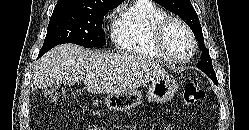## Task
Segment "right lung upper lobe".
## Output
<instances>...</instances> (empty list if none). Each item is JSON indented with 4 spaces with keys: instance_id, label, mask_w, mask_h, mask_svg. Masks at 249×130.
Instances as JSON below:
<instances>
[{
    "instance_id": "obj_1",
    "label": "right lung upper lobe",
    "mask_w": 249,
    "mask_h": 130,
    "mask_svg": "<svg viewBox=\"0 0 249 130\" xmlns=\"http://www.w3.org/2000/svg\"><path fill=\"white\" fill-rule=\"evenodd\" d=\"M123 0H58L56 6H71L83 9H100L108 6H118Z\"/></svg>"
}]
</instances>
